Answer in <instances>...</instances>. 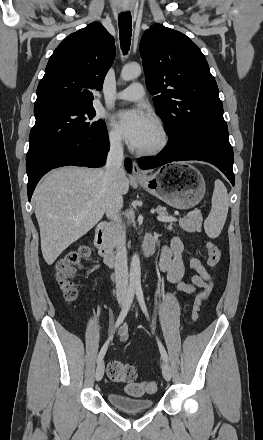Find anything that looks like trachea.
I'll list each match as a JSON object with an SVG mask.
<instances>
[{"label": "trachea", "instance_id": "1", "mask_svg": "<svg viewBox=\"0 0 263 440\" xmlns=\"http://www.w3.org/2000/svg\"><path fill=\"white\" fill-rule=\"evenodd\" d=\"M119 36L121 49L126 54L130 48L132 35V19L131 14L121 13L118 16Z\"/></svg>", "mask_w": 263, "mask_h": 440}]
</instances>
